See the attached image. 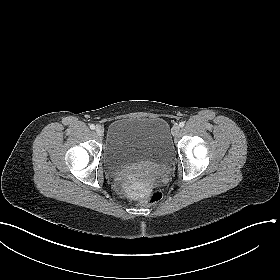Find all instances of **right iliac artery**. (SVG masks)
Wrapping results in <instances>:
<instances>
[{
  "mask_svg": "<svg viewBox=\"0 0 280 280\" xmlns=\"http://www.w3.org/2000/svg\"><path fill=\"white\" fill-rule=\"evenodd\" d=\"M90 129L94 130L95 129V125L94 124H90Z\"/></svg>",
  "mask_w": 280,
  "mask_h": 280,
  "instance_id": "1",
  "label": "right iliac artery"
}]
</instances>
